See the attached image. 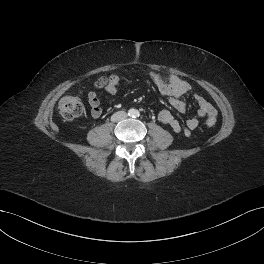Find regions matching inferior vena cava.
I'll list each match as a JSON object with an SVG mask.
<instances>
[{
  "instance_id": "1",
  "label": "inferior vena cava",
  "mask_w": 264,
  "mask_h": 264,
  "mask_svg": "<svg viewBox=\"0 0 264 264\" xmlns=\"http://www.w3.org/2000/svg\"><path fill=\"white\" fill-rule=\"evenodd\" d=\"M127 117V113L125 111H119L113 114L111 120L114 122L121 121Z\"/></svg>"
}]
</instances>
